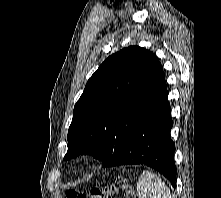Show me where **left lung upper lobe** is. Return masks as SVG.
Returning a JSON list of instances; mask_svg holds the SVG:
<instances>
[{
	"label": "left lung upper lobe",
	"mask_w": 221,
	"mask_h": 198,
	"mask_svg": "<svg viewBox=\"0 0 221 198\" xmlns=\"http://www.w3.org/2000/svg\"><path fill=\"white\" fill-rule=\"evenodd\" d=\"M167 91L150 51L130 46L109 56L75 104L65 160L92 154L106 160L154 110Z\"/></svg>",
	"instance_id": "left-lung-upper-lobe-1"
}]
</instances>
